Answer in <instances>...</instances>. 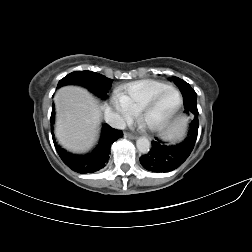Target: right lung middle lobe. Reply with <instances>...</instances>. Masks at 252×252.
Returning a JSON list of instances; mask_svg holds the SVG:
<instances>
[{"mask_svg": "<svg viewBox=\"0 0 252 252\" xmlns=\"http://www.w3.org/2000/svg\"><path fill=\"white\" fill-rule=\"evenodd\" d=\"M112 79L92 71H74L62 78L57 88L64 85H81L102 99L107 98Z\"/></svg>", "mask_w": 252, "mask_h": 252, "instance_id": "dd1d6c3e", "label": "right lung middle lobe"}]
</instances>
